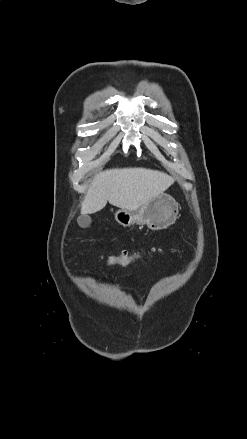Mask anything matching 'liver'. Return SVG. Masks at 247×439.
Instances as JSON below:
<instances>
[{"label": "liver", "mask_w": 247, "mask_h": 439, "mask_svg": "<svg viewBox=\"0 0 247 439\" xmlns=\"http://www.w3.org/2000/svg\"><path fill=\"white\" fill-rule=\"evenodd\" d=\"M174 179L164 172L146 168H115L99 172L82 202L85 215L102 210L107 201L118 208L137 210L164 193Z\"/></svg>", "instance_id": "1"}]
</instances>
